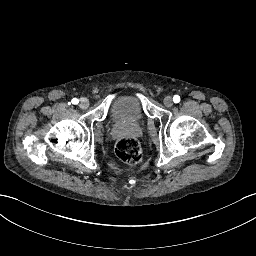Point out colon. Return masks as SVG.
I'll return each mask as SVG.
<instances>
[{"label": "colon", "instance_id": "colon-1", "mask_svg": "<svg viewBox=\"0 0 256 256\" xmlns=\"http://www.w3.org/2000/svg\"><path fill=\"white\" fill-rule=\"evenodd\" d=\"M116 154L127 166L138 165L142 158L140 146L136 139L122 137L116 145Z\"/></svg>", "mask_w": 256, "mask_h": 256}]
</instances>
